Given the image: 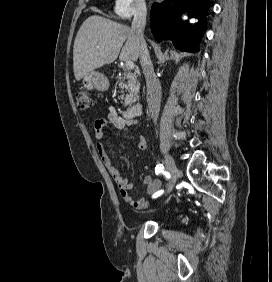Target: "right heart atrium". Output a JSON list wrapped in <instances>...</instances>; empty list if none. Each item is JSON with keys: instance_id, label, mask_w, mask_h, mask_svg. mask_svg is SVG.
<instances>
[{"instance_id": "obj_1", "label": "right heart atrium", "mask_w": 272, "mask_h": 282, "mask_svg": "<svg viewBox=\"0 0 272 282\" xmlns=\"http://www.w3.org/2000/svg\"><path fill=\"white\" fill-rule=\"evenodd\" d=\"M145 0H114L112 11L120 20H129L146 11Z\"/></svg>"}]
</instances>
